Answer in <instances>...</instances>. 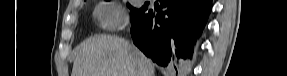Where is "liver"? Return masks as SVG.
Wrapping results in <instances>:
<instances>
[{"mask_svg": "<svg viewBox=\"0 0 287 76\" xmlns=\"http://www.w3.org/2000/svg\"><path fill=\"white\" fill-rule=\"evenodd\" d=\"M154 72L152 61L128 41L97 35L78 46L71 76H154Z\"/></svg>", "mask_w": 287, "mask_h": 76, "instance_id": "1", "label": "liver"}]
</instances>
